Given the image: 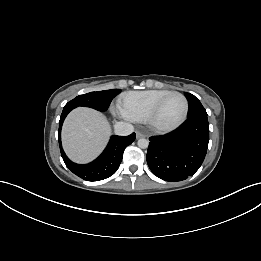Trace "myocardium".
Returning a JSON list of instances; mask_svg holds the SVG:
<instances>
[{
  "label": "myocardium",
  "instance_id": "f54148a6",
  "mask_svg": "<svg viewBox=\"0 0 261 261\" xmlns=\"http://www.w3.org/2000/svg\"><path fill=\"white\" fill-rule=\"evenodd\" d=\"M172 95H177L179 97L182 98L183 102H184V110L182 113V116L180 117V119L169 126H159L155 123V116L160 108V106L162 105V103L170 96ZM188 111H189V103L187 98L185 97L184 94H182L181 92L178 91H170L167 94L163 95L162 97H160L155 103L154 105L150 108V110L148 111L146 117H145V122L148 124V126L155 132H159V133H167V132H171L174 131L175 129L179 128L186 120L187 115H188Z\"/></svg>",
  "mask_w": 261,
  "mask_h": 261
}]
</instances>
